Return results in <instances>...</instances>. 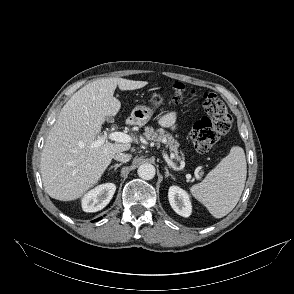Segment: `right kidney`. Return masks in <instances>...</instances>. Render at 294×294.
Instances as JSON below:
<instances>
[{
  "label": "right kidney",
  "instance_id": "obj_1",
  "mask_svg": "<svg viewBox=\"0 0 294 294\" xmlns=\"http://www.w3.org/2000/svg\"><path fill=\"white\" fill-rule=\"evenodd\" d=\"M116 190L113 183L101 184L90 190L81 200L82 209L85 212H97L102 210L112 199Z\"/></svg>",
  "mask_w": 294,
  "mask_h": 294
}]
</instances>
